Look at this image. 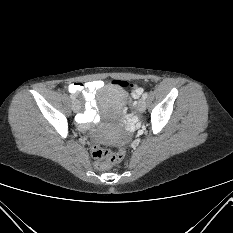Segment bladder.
<instances>
[{"label": "bladder", "mask_w": 233, "mask_h": 233, "mask_svg": "<svg viewBox=\"0 0 233 233\" xmlns=\"http://www.w3.org/2000/svg\"><path fill=\"white\" fill-rule=\"evenodd\" d=\"M127 93L122 85L112 83L103 87L97 96L98 106L113 117H119L125 107ZM101 139L106 143H114L117 138L112 135H102Z\"/></svg>", "instance_id": "obj_1"}]
</instances>
